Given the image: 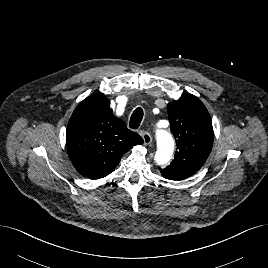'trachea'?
I'll list each match as a JSON object with an SVG mask.
<instances>
[{"label": "trachea", "mask_w": 268, "mask_h": 268, "mask_svg": "<svg viewBox=\"0 0 268 268\" xmlns=\"http://www.w3.org/2000/svg\"><path fill=\"white\" fill-rule=\"evenodd\" d=\"M142 118H143L142 108H136L130 118V124H129L130 128L135 130L138 129L142 121Z\"/></svg>", "instance_id": "trachea-1"}]
</instances>
